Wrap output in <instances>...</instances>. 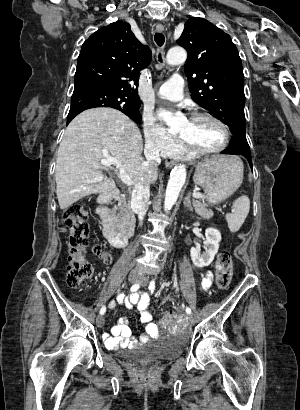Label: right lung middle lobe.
Instances as JSON below:
<instances>
[{"instance_id": "right-lung-middle-lobe-1", "label": "right lung middle lobe", "mask_w": 300, "mask_h": 410, "mask_svg": "<svg viewBox=\"0 0 300 410\" xmlns=\"http://www.w3.org/2000/svg\"><path fill=\"white\" fill-rule=\"evenodd\" d=\"M140 106L141 104L135 103L133 99L118 91L96 84L79 83L75 84L67 118L94 107H112L122 111L131 119L141 120L138 111Z\"/></svg>"}]
</instances>
